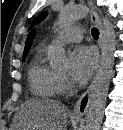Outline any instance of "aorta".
Instances as JSON below:
<instances>
[{
  "instance_id": "762f6f07",
  "label": "aorta",
  "mask_w": 123,
  "mask_h": 130,
  "mask_svg": "<svg viewBox=\"0 0 123 130\" xmlns=\"http://www.w3.org/2000/svg\"><path fill=\"white\" fill-rule=\"evenodd\" d=\"M88 13L89 9L84 5L65 6L58 15L56 26L59 29L66 28L76 20L86 17ZM101 21L104 37L103 52L100 67L92 85L90 108L85 130H100L109 84L113 75L116 34L111 21L106 16H102ZM66 58L65 49L63 47H58L51 62L54 66H63L66 63Z\"/></svg>"
}]
</instances>
